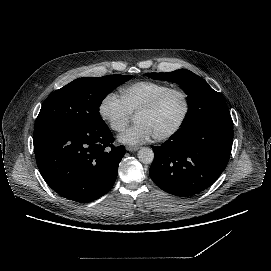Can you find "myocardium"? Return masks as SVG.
<instances>
[{
  "mask_svg": "<svg viewBox=\"0 0 271 271\" xmlns=\"http://www.w3.org/2000/svg\"><path fill=\"white\" fill-rule=\"evenodd\" d=\"M173 93H179L184 101V111L182 114V117L180 118L179 122L176 124V126L171 129L169 132H167L164 135L155 137V139L158 142L168 141L175 137L180 130L185 125L191 109V103H190V97L186 90L180 87H170L158 96H156L149 104H147L145 107H143L141 110L138 111L136 116L142 115V114H148L154 112L166 99Z\"/></svg>",
  "mask_w": 271,
  "mask_h": 271,
  "instance_id": "myocardium-1",
  "label": "myocardium"
}]
</instances>
